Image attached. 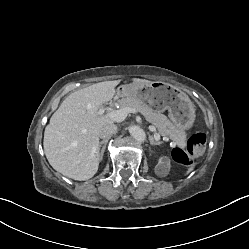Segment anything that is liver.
<instances>
[{"instance_id":"obj_1","label":"liver","mask_w":249,"mask_h":249,"mask_svg":"<svg viewBox=\"0 0 249 249\" xmlns=\"http://www.w3.org/2000/svg\"><path fill=\"white\" fill-rule=\"evenodd\" d=\"M135 83H152L135 78ZM119 80L105 81L67 96L52 115L44 132V152L50 165L66 177L83 181L99 167V130L114 121L98 114L115 95Z\"/></svg>"}]
</instances>
